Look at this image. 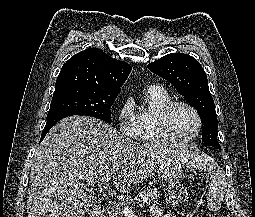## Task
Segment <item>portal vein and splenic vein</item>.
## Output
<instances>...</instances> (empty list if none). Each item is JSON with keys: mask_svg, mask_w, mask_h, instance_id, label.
<instances>
[{"mask_svg": "<svg viewBox=\"0 0 255 217\" xmlns=\"http://www.w3.org/2000/svg\"><path fill=\"white\" fill-rule=\"evenodd\" d=\"M111 175H107V176H105L103 179H102V182L104 183V184H106L110 179H111ZM123 213H124V215L125 216H127V217H133V212H132V210H131V208L129 207V206H124V208H123Z\"/></svg>", "mask_w": 255, "mask_h": 217, "instance_id": "obj_1", "label": "portal vein and splenic vein"}]
</instances>
